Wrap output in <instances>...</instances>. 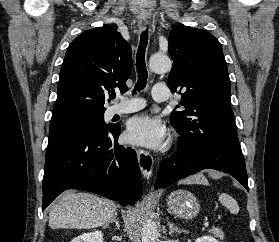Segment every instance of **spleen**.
Masks as SVG:
<instances>
[{
    "label": "spleen",
    "instance_id": "spleen-1",
    "mask_svg": "<svg viewBox=\"0 0 279 242\" xmlns=\"http://www.w3.org/2000/svg\"><path fill=\"white\" fill-rule=\"evenodd\" d=\"M219 201L222 205L227 207L231 213L237 214L239 212V206L235 199L226 193L219 194Z\"/></svg>",
    "mask_w": 279,
    "mask_h": 242
}]
</instances>
